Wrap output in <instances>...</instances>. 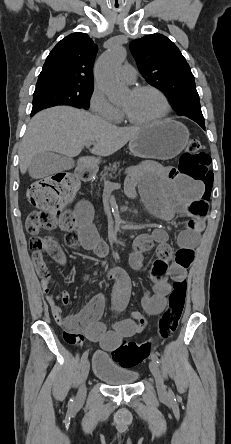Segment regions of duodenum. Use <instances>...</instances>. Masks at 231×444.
<instances>
[{"label": "duodenum", "instance_id": "1", "mask_svg": "<svg viewBox=\"0 0 231 444\" xmlns=\"http://www.w3.org/2000/svg\"><path fill=\"white\" fill-rule=\"evenodd\" d=\"M93 174V169L90 166H82L78 170V176L82 178H89Z\"/></svg>", "mask_w": 231, "mask_h": 444}]
</instances>
